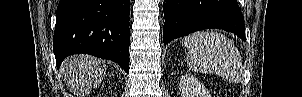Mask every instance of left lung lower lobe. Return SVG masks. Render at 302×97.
Returning <instances> with one entry per match:
<instances>
[{
  "label": "left lung lower lobe",
  "mask_w": 302,
  "mask_h": 97,
  "mask_svg": "<svg viewBox=\"0 0 302 97\" xmlns=\"http://www.w3.org/2000/svg\"><path fill=\"white\" fill-rule=\"evenodd\" d=\"M163 42L189 33L218 28L245 41L244 20L237 0H164Z\"/></svg>",
  "instance_id": "left-lung-lower-lobe-1"
}]
</instances>
